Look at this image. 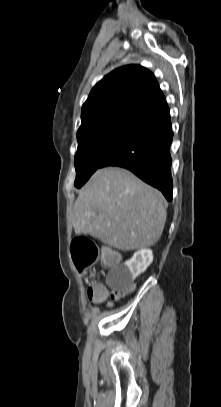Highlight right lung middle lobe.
I'll use <instances>...</instances> for the list:
<instances>
[{
	"mask_svg": "<svg viewBox=\"0 0 221 407\" xmlns=\"http://www.w3.org/2000/svg\"><path fill=\"white\" fill-rule=\"evenodd\" d=\"M138 127L136 124H117L100 128L78 138L75 154L76 179L74 185L80 188Z\"/></svg>",
	"mask_w": 221,
	"mask_h": 407,
	"instance_id": "obj_1",
	"label": "right lung middle lobe"
}]
</instances>
